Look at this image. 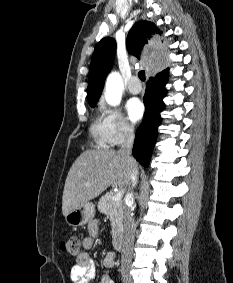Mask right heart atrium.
Returning a JSON list of instances; mask_svg holds the SVG:
<instances>
[{
    "instance_id": "right-heart-atrium-1",
    "label": "right heart atrium",
    "mask_w": 233,
    "mask_h": 283,
    "mask_svg": "<svg viewBox=\"0 0 233 283\" xmlns=\"http://www.w3.org/2000/svg\"><path fill=\"white\" fill-rule=\"evenodd\" d=\"M107 123L108 135L113 145H120L134 135V128L123 113L114 108L101 105Z\"/></svg>"
}]
</instances>
